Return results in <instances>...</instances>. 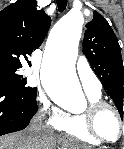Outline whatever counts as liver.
Listing matches in <instances>:
<instances>
[{
  "mask_svg": "<svg viewBox=\"0 0 124 149\" xmlns=\"http://www.w3.org/2000/svg\"><path fill=\"white\" fill-rule=\"evenodd\" d=\"M55 147V138L42 129L31 132L29 129L0 137V149H52ZM74 149H90L75 145Z\"/></svg>",
  "mask_w": 124,
  "mask_h": 149,
  "instance_id": "obj_1",
  "label": "liver"
}]
</instances>
